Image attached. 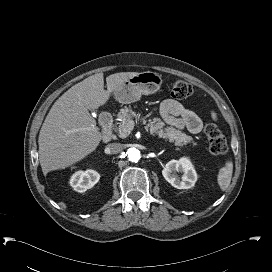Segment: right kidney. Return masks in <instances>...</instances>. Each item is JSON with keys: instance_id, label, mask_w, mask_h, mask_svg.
<instances>
[{"instance_id": "right-kidney-1", "label": "right kidney", "mask_w": 272, "mask_h": 272, "mask_svg": "<svg viewBox=\"0 0 272 272\" xmlns=\"http://www.w3.org/2000/svg\"><path fill=\"white\" fill-rule=\"evenodd\" d=\"M100 179V175L95 170L76 171L70 179V185L75 191L83 193L92 188Z\"/></svg>"}]
</instances>
